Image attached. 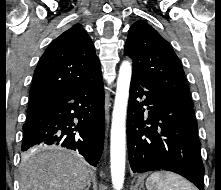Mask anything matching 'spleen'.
<instances>
[{
    "label": "spleen",
    "mask_w": 221,
    "mask_h": 190,
    "mask_svg": "<svg viewBox=\"0 0 221 190\" xmlns=\"http://www.w3.org/2000/svg\"><path fill=\"white\" fill-rule=\"evenodd\" d=\"M147 190H198L186 179L170 172H154L146 180Z\"/></svg>",
    "instance_id": "3e777b00"
}]
</instances>
